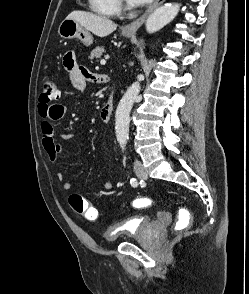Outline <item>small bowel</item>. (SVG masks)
Instances as JSON below:
<instances>
[{
    "instance_id": "small-bowel-1",
    "label": "small bowel",
    "mask_w": 249,
    "mask_h": 294,
    "mask_svg": "<svg viewBox=\"0 0 249 294\" xmlns=\"http://www.w3.org/2000/svg\"><path fill=\"white\" fill-rule=\"evenodd\" d=\"M64 69L69 76L72 87L78 91L85 89L87 82H98L100 76L91 73L85 66L78 64L75 60V53L70 51L64 57ZM66 114V107L63 104H48L41 102L39 104V116L41 118L40 129L42 133V144L48 159L56 162L63 148L56 142L55 124L62 120ZM75 134H60L59 137L64 140L74 138ZM55 178L61 183V188L65 191L71 189L72 184L65 180L64 173L61 170L55 171ZM112 181H105L103 188L110 191L114 188Z\"/></svg>"
}]
</instances>
